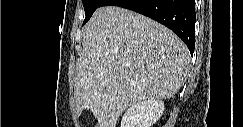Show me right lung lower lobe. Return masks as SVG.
Here are the masks:
<instances>
[{
  "label": "right lung lower lobe",
  "instance_id": "1",
  "mask_svg": "<svg viewBox=\"0 0 243 127\" xmlns=\"http://www.w3.org/2000/svg\"><path fill=\"white\" fill-rule=\"evenodd\" d=\"M102 6L126 8L158 21L179 36L193 54L195 0H105Z\"/></svg>",
  "mask_w": 243,
  "mask_h": 127
}]
</instances>
